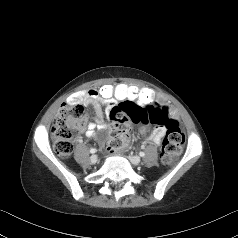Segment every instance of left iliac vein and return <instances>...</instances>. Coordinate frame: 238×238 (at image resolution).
<instances>
[{"instance_id":"4c4485c4","label":"left iliac vein","mask_w":238,"mask_h":238,"mask_svg":"<svg viewBox=\"0 0 238 238\" xmlns=\"http://www.w3.org/2000/svg\"><path fill=\"white\" fill-rule=\"evenodd\" d=\"M129 160L134 165H139L140 162H141V160H140V158L138 156H129Z\"/></svg>"}]
</instances>
